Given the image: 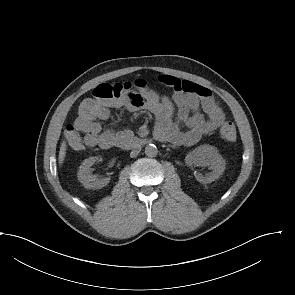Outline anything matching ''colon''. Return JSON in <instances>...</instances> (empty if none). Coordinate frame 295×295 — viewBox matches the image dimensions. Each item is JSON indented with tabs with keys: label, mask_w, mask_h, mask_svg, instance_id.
<instances>
[{
	"label": "colon",
	"mask_w": 295,
	"mask_h": 295,
	"mask_svg": "<svg viewBox=\"0 0 295 295\" xmlns=\"http://www.w3.org/2000/svg\"><path fill=\"white\" fill-rule=\"evenodd\" d=\"M147 83L143 80H137L133 83H103L96 86L93 90V97L84 100L79 108V113L90 114L98 104L110 103L131 92L146 90ZM221 138L227 142H233L236 139V127L231 122H225L220 128Z\"/></svg>",
	"instance_id": "colon-1"
}]
</instances>
